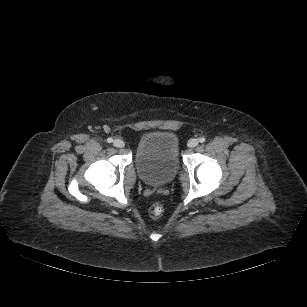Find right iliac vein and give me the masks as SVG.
<instances>
[{"label": "right iliac vein", "mask_w": 307, "mask_h": 307, "mask_svg": "<svg viewBox=\"0 0 307 307\" xmlns=\"http://www.w3.org/2000/svg\"><path fill=\"white\" fill-rule=\"evenodd\" d=\"M113 145L116 147V148H123L125 146V143L123 140L121 139H115L114 142H113Z\"/></svg>", "instance_id": "63e3f726"}]
</instances>
